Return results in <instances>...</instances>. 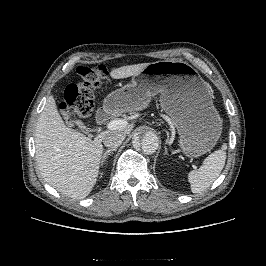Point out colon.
Listing matches in <instances>:
<instances>
[{"instance_id": "5ec220e1", "label": "colon", "mask_w": 266, "mask_h": 266, "mask_svg": "<svg viewBox=\"0 0 266 266\" xmlns=\"http://www.w3.org/2000/svg\"><path fill=\"white\" fill-rule=\"evenodd\" d=\"M104 65H80L76 70L75 81L67 85L61 109L66 121L72 124L78 116L91 112L95 90L107 79Z\"/></svg>"}]
</instances>
